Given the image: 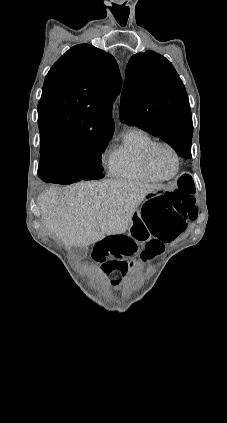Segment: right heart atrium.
<instances>
[{
	"instance_id": "obj_1",
	"label": "right heart atrium",
	"mask_w": 227,
	"mask_h": 423,
	"mask_svg": "<svg viewBox=\"0 0 227 423\" xmlns=\"http://www.w3.org/2000/svg\"><path fill=\"white\" fill-rule=\"evenodd\" d=\"M102 162H103V163L105 162V158H104V157L102 158Z\"/></svg>"
}]
</instances>
